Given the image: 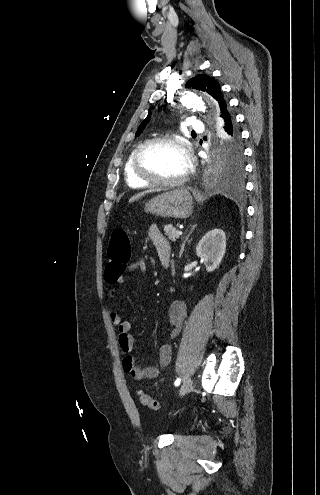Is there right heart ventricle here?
<instances>
[{
  "label": "right heart ventricle",
  "instance_id": "obj_1",
  "mask_svg": "<svg viewBox=\"0 0 320 495\" xmlns=\"http://www.w3.org/2000/svg\"><path fill=\"white\" fill-rule=\"evenodd\" d=\"M135 152V149L131 151V153L128 155L125 164H124V178L126 183L128 184L129 187L131 188H146L149 187L150 184L147 182H144L140 179H138L132 170V158L133 154Z\"/></svg>",
  "mask_w": 320,
  "mask_h": 495
}]
</instances>
